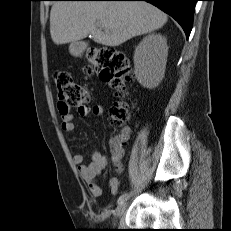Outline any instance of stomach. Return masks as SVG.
<instances>
[{"mask_svg": "<svg viewBox=\"0 0 231 231\" xmlns=\"http://www.w3.org/2000/svg\"><path fill=\"white\" fill-rule=\"evenodd\" d=\"M70 52L73 55L79 54L81 52L80 43H78V42L71 43V45H70Z\"/></svg>", "mask_w": 231, "mask_h": 231, "instance_id": "stomach-1", "label": "stomach"}]
</instances>
